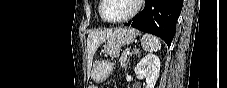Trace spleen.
I'll use <instances>...</instances> for the list:
<instances>
[{
	"mask_svg": "<svg viewBox=\"0 0 227 88\" xmlns=\"http://www.w3.org/2000/svg\"><path fill=\"white\" fill-rule=\"evenodd\" d=\"M141 45L144 51L156 52L161 49L160 40L153 35L144 34L141 39Z\"/></svg>",
	"mask_w": 227,
	"mask_h": 88,
	"instance_id": "obj_1",
	"label": "spleen"
}]
</instances>
